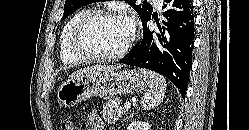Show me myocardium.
Returning <instances> with one entry per match:
<instances>
[{
    "mask_svg": "<svg viewBox=\"0 0 249 130\" xmlns=\"http://www.w3.org/2000/svg\"><path fill=\"white\" fill-rule=\"evenodd\" d=\"M110 16L125 17L122 12L113 9H95L86 13L77 23L71 39V50L81 60L96 61V62H107V61L118 60L124 57L132 47L133 43L137 38V31L134 25L132 27V34L130 38L127 40L124 46L115 53L98 54L87 50L83 46L82 37L86 26L98 17H110Z\"/></svg>",
    "mask_w": 249,
    "mask_h": 130,
    "instance_id": "obj_1",
    "label": "myocardium"
}]
</instances>
